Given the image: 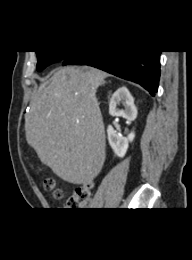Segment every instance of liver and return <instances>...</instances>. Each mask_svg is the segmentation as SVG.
Listing matches in <instances>:
<instances>
[{
	"label": "liver",
	"mask_w": 192,
	"mask_h": 260,
	"mask_svg": "<svg viewBox=\"0 0 192 260\" xmlns=\"http://www.w3.org/2000/svg\"><path fill=\"white\" fill-rule=\"evenodd\" d=\"M108 74L66 66L42 83L25 118L27 143L61 179L90 183L106 158L105 130L96 91Z\"/></svg>",
	"instance_id": "obj_1"
}]
</instances>
